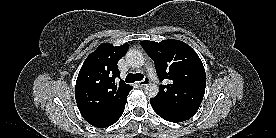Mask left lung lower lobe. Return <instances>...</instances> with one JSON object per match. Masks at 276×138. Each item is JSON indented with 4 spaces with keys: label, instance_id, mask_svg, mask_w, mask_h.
Masks as SVG:
<instances>
[{
    "label": "left lung lower lobe",
    "instance_id": "0a47b994",
    "mask_svg": "<svg viewBox=\"0 0 276 138\" xmlns=\"http://www.w3.org/2000/svg\"><path fill=\"white\" fill-rule=\"evenodd\" d=\"M151 106L154 109V111L163 119L170 121V122H183L186 121L188 119H190L192 116L190 115H185V114H179L176 112H173L171 110L168 109H164L160 106H158L157 104L153 103L150 100Z\"/></svg>",
    "mask_w": 276,
    "mask_h": 138
}]
</instances>
